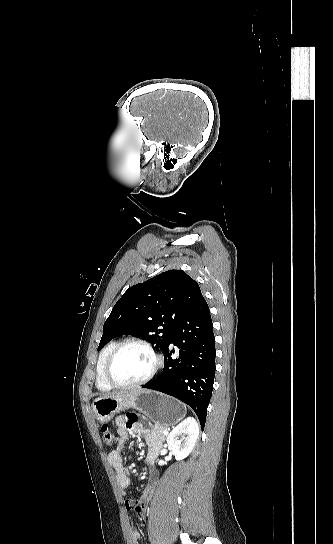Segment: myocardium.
<instances>
[{"label":"myocardium","mask_w":333,"mask_h":544,"mask_svg":"<svg viewBox=\"0 0 333 544\" xmlns=\"http://www.w3.org/2000/svg\"><path fill=\"white\" fill-rule=\"evenodd\" d=\"M129 346H138V347H141V348L145 349L152 356L153 366H152L150 372L144 378H142L140 380H137V381H134V382H131V383H121V382H118L117 380H115L113 378L112 372H111L112 371V366H113L114 360L116 359L118 354L124 348L129 347ZM162 365H163L162 357L156 351V349L153 347V345L151 343H149L147 341H144V340H140V339H130V340L120 342L112 350V352L109 354V356H108V358L106 360L105 366H104V378H105L106 382L109 385H111L112 387H115V388L125 389V388L138 387V386L144 385V384L148 383L149 381H151L155 377L157 372L160 370Z\"/></svg>","instance_id":"f54148a6"}]
</instances>
